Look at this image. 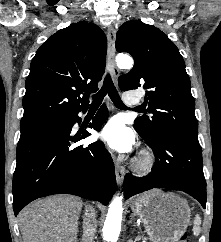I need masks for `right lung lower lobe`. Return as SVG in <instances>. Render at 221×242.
<instances>
[{"label": "right lung lower lobe", "mask_w": 221, "mask_h": 242, "mask_svg": "<svg viewBox=\"0 0 221 242\" xmlns=\"http://www.w3.org/2000/svg\"><path fill=\"white\" fill-rule=\"evenodd\" d=\"M87 108L21 125L12 187L15 215L31 201L53 194L109 203L116 188L111 155L101 141L75 146L90 133H71L80 122L78 113ZM107 116L103 105L90 127L98 130Z\"/></svg>", "instance_id": "right-lung-lower-lobe-1"}]
</instances>
